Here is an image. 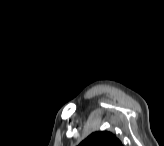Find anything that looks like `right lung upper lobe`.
<instances>
[{
	"instance_id": "right-lung-upper-lobe-1",
	"label": "right lung upper lobe",
	"mask_w": 164,
	"mask_h": 146,
	"mask_svg": "<svg viewBox=\"0 0 164 146\" xmlns=\"http://www.w3.org/2000/svg\"><path fill=\"white\" fill-rule=\"evenodd\" d=\"M80 146H122V143L112 133L99 131L89 135Z\"/></svg>"
}]
</instances>
